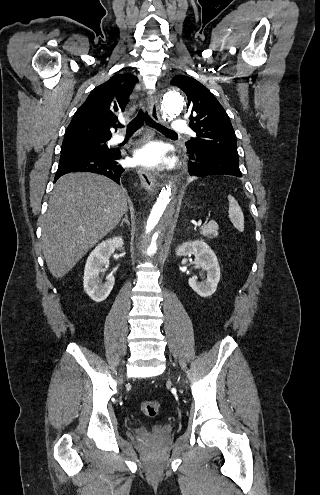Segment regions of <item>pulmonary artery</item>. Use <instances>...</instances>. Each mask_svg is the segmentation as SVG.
Masks as SVG:
<instances>
[{"label": "pulmonary artery", "instance_id": "e3ab8cb5", "mask_svg": "<svg viewBox=\"0 0 320 495\" xmlns=\"http://www.w3.org/2000/svg\"><path fill=\"white\" fill-rule=\"evenodd\" d=\"M171 128L173 131H185L187 129V123L185 120L176 119L172 124ZM124 136L116 135L112 138L113 143H121L124 141Z\"/></svg>", "mask_w": 320, "mask_h": 495}]
</instances>
